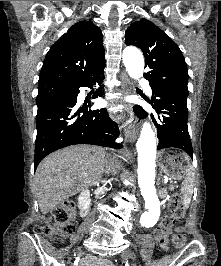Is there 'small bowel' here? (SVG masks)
<instances>
[{"mask_svg": "<svg viewBox=\"0 0 221 266\" xmlns=\"http://www.w3.org/2000/svg\"><path fill=\"white\" fill-rule=\"evenodd\" d=\"M158 244L160 245V247L163 250L167 249L166 243L162 244V243L158 242ZM85 265L86 266H114V264L107 259L95 260L93 258H89Z\"/></svg>", "mask_w": 221, "mask_h": 266, "instance_id": "c3829d8e", "label": "small bowel"}]
</instances>
